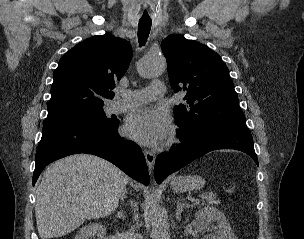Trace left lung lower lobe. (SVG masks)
I'll use <instances>...</instances> for the list:
<instances>
[{
  "label": "left lung lower lobe",
  "mask_w": 304,
  "mask_h": 239,
  "mask_svg": "<svg viewBox=\"0 0 304 239\" xmlns=\"http://www.w3.org/2000/svg\"><path fill=\"white\" fill-rule=\"evenodd\" d=\"M181 144L167 154L158 155L155 162V180L164 178L202 155L218 149H235L245 152L258 165L253 138L248 128L222 127L207 131L196 137H188L179 131Z\"/></svg>",
  "instance_id": "0a47b994"
}]
</instances>
